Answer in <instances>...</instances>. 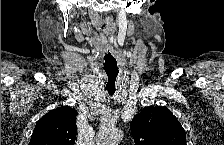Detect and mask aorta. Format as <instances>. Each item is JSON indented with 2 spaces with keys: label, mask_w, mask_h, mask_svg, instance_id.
Segmentation results:
<instances>
[{
  "label": "aorta",
  "mask_w": 224,
  "mask_h": 145,
  "mask_svg": "<svg viewBox=\"0 0 224 145\" xmlns=\"http://www.w3.org/2000/svg\"><path fill=\"white\" fill-rule=\"evenodd\" d=\"M123 133L119 128L108 126L102 128L96 138L97 145H118Z\"/></svg>",
  "instance_id": "1"
}]
</instances>
